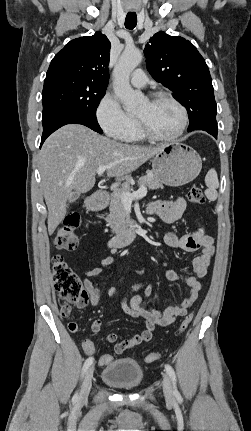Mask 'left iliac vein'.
Instances as JSON below:
<instances>
[{
	"instance_id": "1",
	"label": "left iliac vein",
	"mask_w": 251,
	"mask_h": 431,
	"mask_svg": "<svg viewBox=\"0 0 251 431\" xmlns=\"http://www.w3.org/2000/svg\"><path fill=\"white\" fill-rule=\"evenodd\" d=\"M163 392L168 401H171L173 399L171 381L166 374L163 375Z\"/></svg>"
}]
</instances>
